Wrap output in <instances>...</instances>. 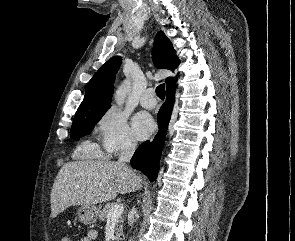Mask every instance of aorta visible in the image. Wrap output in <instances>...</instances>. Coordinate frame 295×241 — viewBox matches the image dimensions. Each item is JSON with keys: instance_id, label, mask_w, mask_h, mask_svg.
Here are the masks:
<instances>
[{"instance_id": "aorta-1", "label": "aorta", "mask_w": 295, "mask_h": 241, "mask_svg": "<svg viewBox=\"0 0 295 241\" xmlns=\"http://www.w3.org/2000/svg\"><path fill=\"white\" fill-rule=\"evenodd\" d=\"M131 83L129 80H124L115 92V102L118 106L124 104L127 94L130 92Z\"/></svg>"}]
</instances>
